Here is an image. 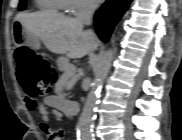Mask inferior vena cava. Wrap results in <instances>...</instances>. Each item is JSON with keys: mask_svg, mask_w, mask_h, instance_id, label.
<instances>
[{"mask_svg": "<svg viewBox=\"0 0 182 140\" xmlns=\"http://www.w3.org/2000/svg\"><path fill=\"white\" fill-rule=\"evenodd\" d=\"M98 7L95 0H83L80 4L79 12L77 14V21L85 25H91L92 15ZM92 32V31H91ZM94 35V33L92 32Z\"/></svg>", "mask_w": 182, "mask_h": 140, "instance_id": "602c4592", "label": "inferior vena cava"}]
</instances>
